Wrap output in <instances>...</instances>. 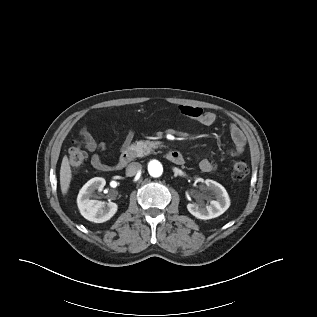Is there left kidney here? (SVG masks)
Returning a JSON list of instances; mask_svg holds the SVG:
<instances>
[{
    "mask_svg": "<svg viewBox=\"0 0 317 317\" xmlns=\"http://www.w3.org/2000/svg\"><path fill=\"white\" fill-rule=\"evenodd\" d=\"M205 185L209 191H211L216 200L210 201V205H204L203 203H188V211L198 219L208 220L216 218L223 214L230 206V198L226 189L216 181L207 179Z\"/></svg>",
    "mask_w": 317,
    "mask_h": 317,
    "instance_id": "left-kidney-1",
    "label": "left kidney"
}]
</instances>
